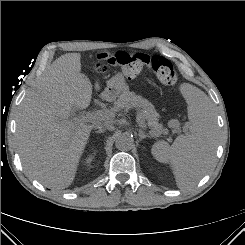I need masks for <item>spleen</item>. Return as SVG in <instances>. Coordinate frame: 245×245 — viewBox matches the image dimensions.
<instances>
[{
    "label": "spleen",
    "instance_id": "3e777b00",
    "mask_svg": "<svg viewBox=\"0 0 245 245\" xmlns=\"http://www.w3.org/2000/svg\"><path fill=\"white\" fill-rule=\"evenodd\" d=\"M181 91L188 105V131L171 146L166 141L154 143L151 152L157 161L171 164L177 186L186 189L194 186L212 165L217 146L216 116L203 91L190 84H183Z\"/></svg>",
    "mask_w": 245,
    "mask_h": 245
}]
</instances>
